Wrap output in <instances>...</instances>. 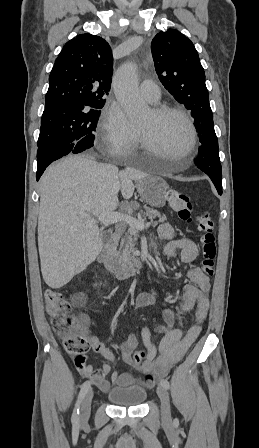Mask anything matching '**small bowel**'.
<instances>
[{
	"label": "small bowel",
	"instance_id": "1",
	"mask_svg": "<svg viewBox=\"0 0 259 448\" xmlns=\"http://www.w3.org/2000/svg\"><path fill=\"white\" fill-rule=\"evenodd\" d=\"M159 239L165 242L164 253L168 257H173L177 250H180L181 261L184 264L192 263L198 256L196 243L188 238L175 237L173 227L168 223H163L158 227ZM187 276L189 283L184 286L183 300L179 305L181 312H190L195 306L196 322L186 331L174 327L175 316L170 309L163 311V323L157 327V331L164 336L157 349L151 342V331L148 328L142 330V341L146 349L147 358L142 363H135L132 360V352L136 348L138 341L134 334L128 335L120 347L122 360L131 367L145 374V378L139 381L137 377L129 372L113 371L111 382L106 376L111 372L112 366L116 364L113 352L108 349L96 336L89 335L88 340L92 349L101 354L108 363L102 368L95 369L87 363L86 356H76L73 363L80 375L89 378L101 391L107 392L111 383L126 387L140 383L146 387H152L157 377L166 375L170 368L180 361L191 345L195 342L202 330V323L205 321L209 310L208 291L210 282L207 274L199 267H191ZM160 300V292L153 288L149 292L139 295L136 300V307L156 305Z\"/></svg>",
	"mask_w": 259,
	"mask_h": 448
}]
</instances>
